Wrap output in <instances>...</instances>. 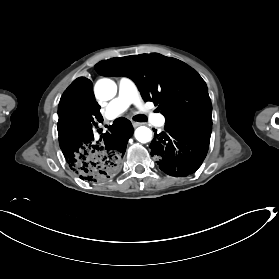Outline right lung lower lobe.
I'll list each match as a JSON object with an SVG mask.
<instances>
[{
	"label": "right lung lower lobe",
	"mask_w": 279,
	"mask_h": 279,
	"mask_svg": "<svg viewBox=\"0 0 279 279\" xmlns=\"http://www.w3.org/2000/svg\"><path fill=\"white\" fill-rule=\"evenodd\" d=\"M99 108L92 82L84 77L73 81L58 106L60 148L70 169L88 182H104L118 173L133 133L131 122L118 118L109 132L94 137V119L102 120Z\"/></svg>",
	"instance_id": "right-lung-lower-lobe-1"
}]
</instances>
